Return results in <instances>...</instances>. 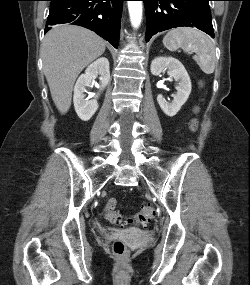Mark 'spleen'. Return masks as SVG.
I'll return each mask as SVG.
<instances>
[{
    "mask_svg": "<svg viewBox=\"0 0 250 285\" xmlns=\"http://www.w3.org/2000/svg\"><path fill=\"white\" fill-rule=\"evenodd\" d=\"M163 45L170 51L183 49L195 53L193 59L207 75L215 70V45L208 35L195 28L181 27L170 30L163 38Z\"/></svg>",
    "mask_w": 250,
    "mask_h": 285,
    "instance_id": "3e777b00",
    "label": "spleen"
}]
</instances>
